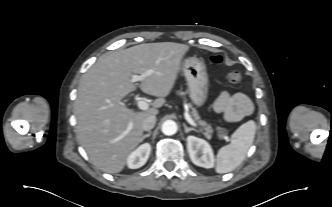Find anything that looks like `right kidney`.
Wrapping results in <instances>:
<instances>
[{
  "label": "right kidney",
  "instance_id": "right-kidney-1",
  "mask_svg": "<svg viewBox=\"0 0 332 207\" xmlns=\"http://www.w3.org/2000/svg\"><path fill=\"white\" fill-rule=\"evenodd\" d=\"M150 153H151L150 144L149 143L142 144L128 156L127 166L130 169H137L142 167L147 162Z\"/></svg>",
  "mask_w": 332,
  "mask_h": 207
}]
</instances>
